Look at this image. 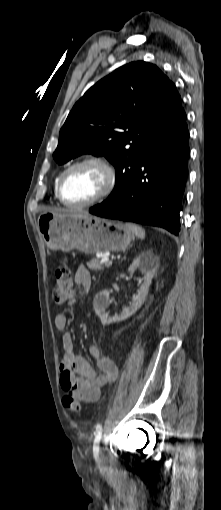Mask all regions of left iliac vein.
<instances>
[{"mask_svg": "<svg viewBox=\"0 0 221 510\" xmlns=\"http://www.w3.org/2000/svg\"><path fill=\"white\" fill-rule=\"evenodd\" d=\"M101 457H102V454H101V452H100V453H99L98 463H100V462H101Z\"/></svg>", "mask_w": 221, "mask_h": 510, "instance_id": "obj_1", "label": "left iliac vein"}]
</instances>
